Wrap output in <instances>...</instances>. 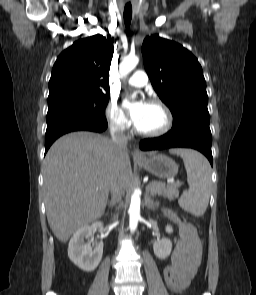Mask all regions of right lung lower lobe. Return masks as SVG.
<instances>
[{
	"instance_id": "obj_1",
	"label": "right lung lower lobe",
	"mask_w": 256,
	"mask_h": 295,
	"mask_svg": "<svg viewBox=\"0 0 256 295\" xmlns=\"http://www.w3.org/2000/svg\"><path fill=\"white\" fill-rule=\"evenodd\" d=\"M108 124L104 115H83L73 113H56L47 116L45 134V152L61 135L72 131L88 130L102 132Z\"/></svg>"
}]
</instances>
